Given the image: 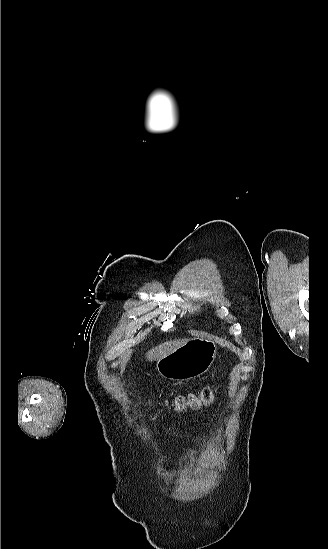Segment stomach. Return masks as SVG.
Listing matches in <instances>:
<instances>
[{"mask_svg":"<svg viewBox=\"0 0 328 549\" xmlns=\"http://www.w3.org/2000/svg\"><path fill=\"white\" fill-rule=\"evenodd\" d=\"M217 355L213 337H194L157 361V371L169 381H192L209 371Z\"/></svg>","mask_w":328,"mask_h":549,"instance_id":"0dacf381","label":"stomach"}]
</instances>
